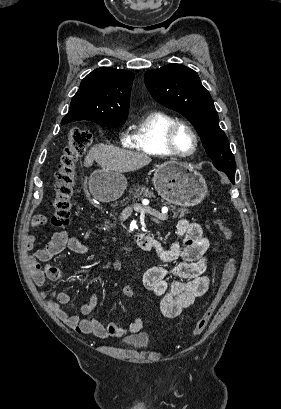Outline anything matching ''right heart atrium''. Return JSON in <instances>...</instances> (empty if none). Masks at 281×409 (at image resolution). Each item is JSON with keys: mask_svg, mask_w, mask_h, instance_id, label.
<instances>
[{"mask_svg": "<svg viewBox=\"0 0 281 409\" xmlns=\"http://www.w3.org/2000/svg\"><path fill=\"white\" fill-rule=\"evenodd\" d=\"M120 136H121V138H125L123 133H121Z\"/></svg>", "mask_w": 281, "mask_h": 409, "instance_id": "obj_1", "label": "right heart atrium"}]
</instances>
